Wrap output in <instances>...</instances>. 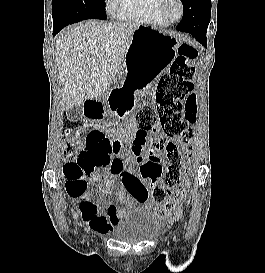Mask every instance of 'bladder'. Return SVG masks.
Masks as SVG:
<instances>
[{
    "instance_id": "1",
    "label": "bladder",
    "mask_w": 265,
    "mask_h": 273,
    "mask_svg": "<svg viewBox=\"0 0 265 273\" xmlns=\"http://www.w3.org/2000/svg\"><path fill=\"white\" fill-rule=\"evenodd\" d=\"M159 221V216L144 206H131L124 211L112 233L122 241H144L156 234Z\"/></svg>"
}]
</instances>
